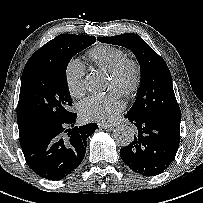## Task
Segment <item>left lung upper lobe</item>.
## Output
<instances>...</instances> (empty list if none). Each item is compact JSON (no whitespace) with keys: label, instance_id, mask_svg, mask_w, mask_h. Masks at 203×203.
Segmentation results:
<instances>
[{"label":"left lung upper lobe","instance_id":"1","mask_svg":"<svg viewBox=\"0 0 203 203\" xmlns=\"http://www.w3.org/2000/svg\"><path fill=\"white\" fill-rule=\"evenodd\" d=\"M98 40L131 50L140 64L141 85L128 115L153 119L181 117L166 62L139 35L126 33Z\"/></svg>","mask_w":203,"mask_h":203}]
</instances>
